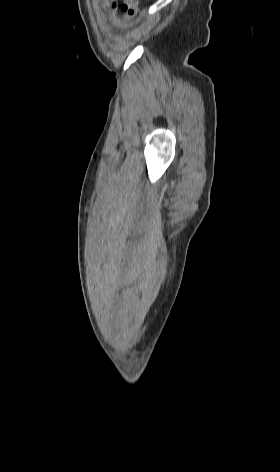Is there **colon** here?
<instances>
[{"instance_id": "1", "label": "colon", "mask_w": 280, "mask_h": 472, "mask_svg": "<svg viewBox=\"0 0 280 472\" xmlns=\"http://www.w3.org/2000/svg\"><path fill=\"white\" fill-rule=\"evenodd\" d=\"M112 6L115 7V3H112ZM139 9V0H124L122 5V10L124 11L125 20H131L135 17Z\"/></svg>"}]
</instances>
